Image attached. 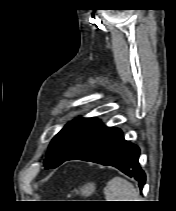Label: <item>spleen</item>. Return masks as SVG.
Listing matches in <instances>:
<instances>
[{
    "label": "spleen",
    "instance_id": "3e777b00",
    "mask_svg": "<svg viewBox=\"0 0 176 211\" xmlns=\"http://www.w3.org/2000/svg\"><path fill=\"white\" fill-rule=\"evenodd\" d=\"M106 201H141L138 190L128 180L114 177L104 188Z\"/></svg>",
    "mask_w": 176,
    "mask_h": 211
}]
</instances>
